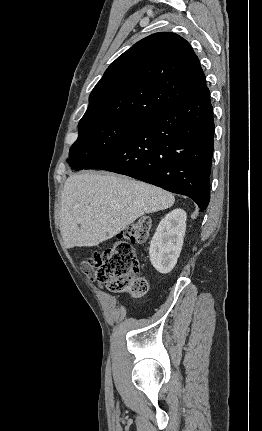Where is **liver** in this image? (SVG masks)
Returning a JSON list of instances; mask_svg holds the SVG:
<instances>
[{"label":"liver","instance_id":"obj_1","mask_svg":"<svg viewBox=\"0 0 262 431\" xmlns=\"http://www.w3.org/2000/svg\"><path fill=\"white\" fill-rule=\"evenodd\" d=\"M174 196L134 179L100 172L71 175L61 196L60 231L66 248L97 246L144 214L170 208Z\"/></svg>","mask_w":262,"mask_h":431}]
</instances>
